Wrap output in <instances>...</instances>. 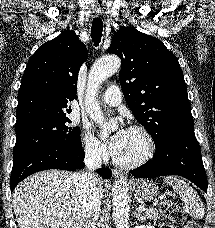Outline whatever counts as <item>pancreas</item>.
<instances>
[{
	"mask_svg": "<svg viewBox=\"0 0 215 228\" xmlns=\"http://www.w3.org/2000/svg\"><path fill=\"white\" fill-rule=\"evenodd\" d=\"M143 216L145 220H160V216H158V210H156V208H147V210L143 212Z\"/></svg>",
	"mask_w": 215,
	"mask_h": 228,
	"instance_id": "cf45deb5",
	"label": "pancreas"
}]
</instances>
